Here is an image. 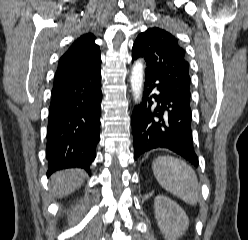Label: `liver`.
<instances>
[{
    "label": "liver",
    "mask_w": 248,
    "mask_h": 240,
    "mask_svg": "<svg viewBox=\"0 0 248 240\" xmlns=\"http://www.w3.org/2000/svg\"><path fill=\"white\" fill-rule=\"evenodd\" d=\"M85 176V172L81 169H68L56 172L52 175L50 181L53 195L61 198L73 193L81 187Z\"/></svg>",
    "instance_id": "obj_1"
}]
</instances>
